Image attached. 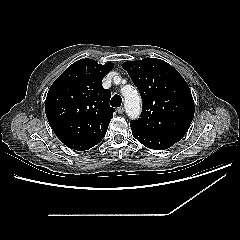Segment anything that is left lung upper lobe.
<instances>
[{"label":"left lung upper lobe","mask_w":240,"mask_h":240,"mask_svg":"<svg viewBox=\"0 0 240 240\" xmlns=\"http://www.w3.org/2000/svg\"><path fill=\"white\" fill-rule=\"evenodd\" d=\"M122 67L143 101L140 118L131 121V129L146 134L185 135L195 107L184 78L170 64L156 58L128 61Z\"/></svg>","instance_id":"5c2ea615"}]
</instances>
